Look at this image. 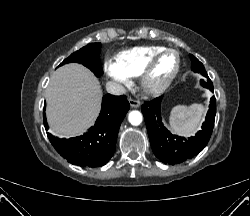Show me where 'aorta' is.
Segmentation results:
<instances>
[{
  "label": "aorta",
  "mask_w": 250,
  "mask_h": 216,
  "mask_svg": "<svg viewBox=\"0 0 250 216\" xmlns=\"http://www.w3.org/2000/svg\"><path fill=\"white\" fill-rule=\"evenodd\" d=\"M142 119H143V116L142 114L135 110V111H131L129 113V116H128V120L129 122L133 125V126H138L141 124L142 122Z\"/></svg>",
  "instance_id": "762f6f07"
}]
</instances>
